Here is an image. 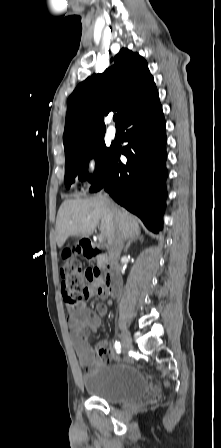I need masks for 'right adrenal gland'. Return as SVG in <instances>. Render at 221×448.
<instances>
[{
	"label": "right adrenal gland",
	"mask_w": 221,
	"mask_h": 448,
	"mask_svg": "<svg viewBox=\"0 0 221 448\" xmlns=\"http://www.w3.org/2000/svg\"><path fill=\"white\" fill-rule=\"evenodd\" d=\"M137 240L143 242V236H142L141 234H139V235H138L137 237H135L134 239L129 240L128 243H127V245H126V247H125V251H127V250L129 249L130 245H131L133 242H136Z\"/></svg>",
	"instance_id": "obj_1"
}]
</instances>
